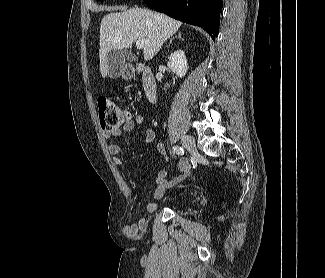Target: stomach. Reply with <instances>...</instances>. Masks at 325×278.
<instances>
[{
    "mask_svg": "<svg viewBox=\"0 0 325 278\" xmlns=\"http://www.w3.org/2000/svg\"><path fill=\"white\" fill-rule=\"evenodd\" d=\"M132 76L131 72H128L127 74L124 75L125 78H130Z\"/></svg>",
    "mask_w": 325,
    "mask_h": 278,
    "instance_id": "stomach-1",
    "label": "stomach"
}]
</instances>
